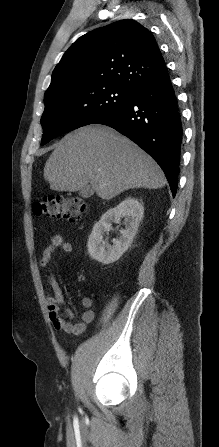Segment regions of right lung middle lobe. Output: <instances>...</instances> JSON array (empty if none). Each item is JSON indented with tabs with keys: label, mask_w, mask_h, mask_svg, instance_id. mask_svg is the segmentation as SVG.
Here are the masks:
<instances>
[{
	"label": "right lung middle lobe",
	"mask_w": 219,
	"mask_h": 447,
	"mask_svg": "<svg viewBox=\"0 0 219 447\" xmlns=\"http://www.w3.org/2000/svg\"><path fill=\"white\" fill-rule=\"evenodd\" d=\"M133 95L115 85H103L86 92L63 90L46 95L41 117V145L62 133L92 124L99 117L128 103Z\"/></svg>",
	"instance_id": "1"
}]
</instances>
